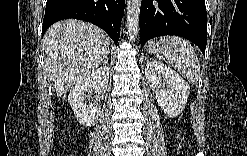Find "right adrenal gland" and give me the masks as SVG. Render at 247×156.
Returning <instances> with one entry per match:
<instances>
[{
    "instance_id": "obj_1",
    "label": "right adrenal gland",
    "mask_w": 247,
    "mask_h": 156,
    "mask_svg": "<svg viewBox=\"0 0 247 156\" xmlns=\"http://www.w3.org/2000/svg\"><path fill=\"white\" fill-rule=\"evenodd\" d=\"M108 55H109V53L102 60V63L105 64V65L108 64V59H109Z\"/></svg>"
}]
</instances>
